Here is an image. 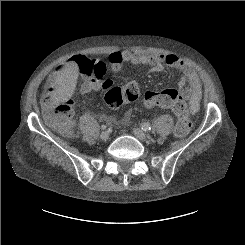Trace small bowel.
Masks as SVG:
<instances>
[{
    "label": "small bowel",
    "mask_w": 245,
    "mask_h": 245,
    "mask_svg": "<svg viewBox=\"0 0 245 245\" xmlns=\"http://www.w3.org/2000/svg\"><path fill=\"white\" fill-rule=\"evenodd\" d=\"M111 70L114 73L120 72L124 66H150L155 72H160L166 65L181 75L178 86L180 95L189 103L191 114L198 112L202 100V87L196 71L186 64L181 58L174 54H142L130 50L114 51L108 55ZM76 66L71 59L58 65L53 77L75 74ZM111 86V81L107 78L98 80L88 78L80 87V93L101 92Z\"/></svg>",
    "instance_id": "c3829d8e"
}]
</instances>
